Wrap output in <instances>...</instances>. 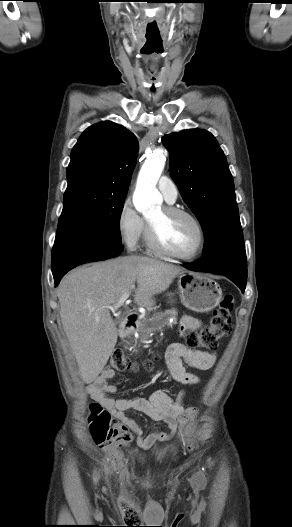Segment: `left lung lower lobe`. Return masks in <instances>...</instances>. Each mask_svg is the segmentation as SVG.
I'll return each instance as SVG.
<instances>
[{
  "instance_id": "left-lung-lower-lobe-1",
  "label": "left lung lower lobe",
  "mask_w": 292,
  "mask_h": 527,
  "mask_svg": "<svg viewBox=\"0 0 292 527\" xmlns=\"http://www.w3.org/2000/svg\"><path fill=\"white\" fill-rule=\"evenodd\" d=\"M192 271L214 272L226 276L244 293L247 282V261L245 248L224 250L204 256L195 263H185Z\"/></svg>"
}]
</instances>
